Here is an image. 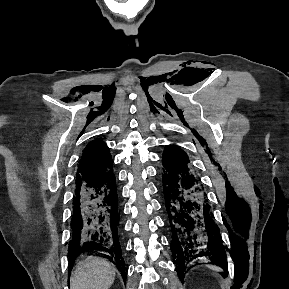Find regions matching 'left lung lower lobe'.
Here are the masks:
<instances>
[{"instance_id":"left-lung-lower-lobe-1","label":"left lung lower lobe","mask_w":289,"mask_h":289,"mask_svg":"<svg viewBox=\"0 0 289 289\" xmlns=\"http://www.w3.org/2000/svg\"><path fill=\"white\" fill-rule=\"evenodd\" d=\"M162 165L163 194L173 236L171 250L183 281L185 264L201 256H224L225 250L207 194L187 154L165 148ZM221 267L226 269L225 264Z\"/></svg>"}]
</instances>
